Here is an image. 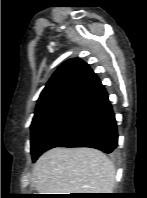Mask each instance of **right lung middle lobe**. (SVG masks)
Here are the masks:
<instances>
[{
    "mask_svg": "<svg viewBox=\"0 0 147 198\" xmlns=\"http://www.w3.org/2000/svg\"><path fill=\"white\" fill-rule=\"evenodd\" d=\"M74 105L57 104L35 111L31 124V154L32 159L38 153L39 147L45 138L62 121Z\"/></svg>",
    "mask_w": 147,
    "mask_h": 198,
    "instance_id": "1",
    "label": "right lung middle lobe"
}]
</instances>
